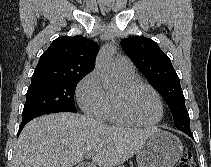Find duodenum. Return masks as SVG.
Wrapping results in <instances>:
<instances>
[{
    "instance_id": "1",
    "label": "duodenum",
    "mask_w": 211,
    "mask_h": 167,
    "mask_svg": "<svg viewBox=\"0 0 211 167\" xmlns=\"http://www.w3.org/2000/svg\"><path fill=\"white\" fill-rule=\"evenodd\" d=\"M77 167H90V166L87 165V164H82V165H79V166H77Z\"/></svg>"
}]
</instances>
